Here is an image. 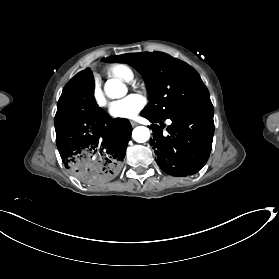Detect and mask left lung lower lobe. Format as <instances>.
<instances>
[{
  "label": "left lung lower lobe",
  "instance_id": "obj_1",
  "mask_svg": "<svg viewBox=\"0 0 279 279\" xmlns=\"http://www.w3.org/2000/svg\"><path fill=\"white\" fill-rule=\"evenodd\" d=\"M213 114L210 101L171 115L167 117L172 124L167 127L169 135H166L163 134L162 127L165 125L162 120L141 113L151 123L159 122L161 125L149 126L153 130L150 144L155 150L158 165L165 173L172 176L192 175L206 164L214 134Z\"/></svg>",
  "mask_w": 279,
  "mask_h": 279
}]
</instances>
